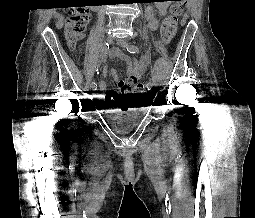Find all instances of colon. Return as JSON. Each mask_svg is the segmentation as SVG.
Returning a JSON list of instances; mask_svg holds the SVG:
<instances>
[{"instance_id":"colon-1","label":"colon","mask_w":255,"mask_h":218,"mask_svg":"<svg viewBox=\"0 0 255 218\" xmlns=\"http://www.w3.org/2000/svg\"><path fill=\"white\" fill-rule=\"evenodd\" d=\"M167 1L171 2L170 13L164 19L160 30V38L164 44L170 43L177 32L178 17L183 11L185 0ZM90 18V14L83 7H71L66 10L65 34L71 44H75L81 39L87 30ZM143 88L142 84H137L128 90L134 96H138L142 94Z\"/></svg>"}]
</instances>
